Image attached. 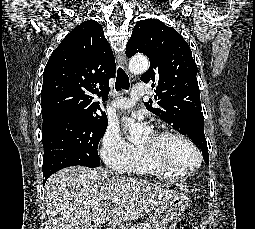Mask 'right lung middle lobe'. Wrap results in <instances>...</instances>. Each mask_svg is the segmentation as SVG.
<instances>
[{
    "label": "right lung middle lobe",
    "mask_w": 255,
    "mask_h": 229,
    "mask_svg": "<svg viewBox=\"0 0 255 229\" xmlns=\"http://www.w3.org/2000/svg\"><path fill=\"white\" fill-rule=\"evenodd\" d=\"M107 124L106 118H53L43 122V175L75 165L98 167L97 148Z\"/></svg>",
    "instance_id": "dd1d6c3e"
}]
</instances>
